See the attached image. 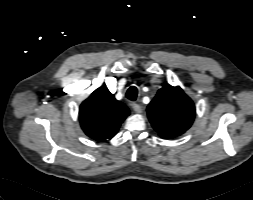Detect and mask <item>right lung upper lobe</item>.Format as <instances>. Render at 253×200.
<instances>
[{
  "label": "right lung upper lobe",
  "mask_w": 253,
  "mask_h": 200,
  "mask_svg": "<svg viewBox=\"0 0 253 200\" xmlns=\"http://www.w3.org/2000/svg\"><path fill=\"white\" fill-rule=\"evenodd\" d=\"M129 114L127 106L103 86L83 101L79 110L83 131L100 142L111 139Z\"/></svg>",
  "instance_id": "right-lung-upper-lobe-1"
}]
</instances>
